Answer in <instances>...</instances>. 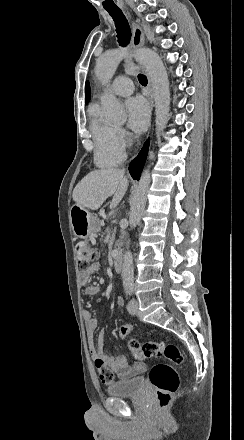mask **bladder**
I'll return each instance as SVG.
<instances>
[{"mask_svg": "<svg viewBox=\"0 0 244 440\" xmlns=\"http://www.w3.org/2000/svg\"><path fill=\"white\" fill-rule=\"evenodd\" d=\"M145 389L144 377H133L123 381H117L108 386V394L117 396L140 395Z\"/></svg>", "mask_w": 244, "mask_h": 440, "instance_id": "obj_1", "label": "bladder"}]
</instances>
